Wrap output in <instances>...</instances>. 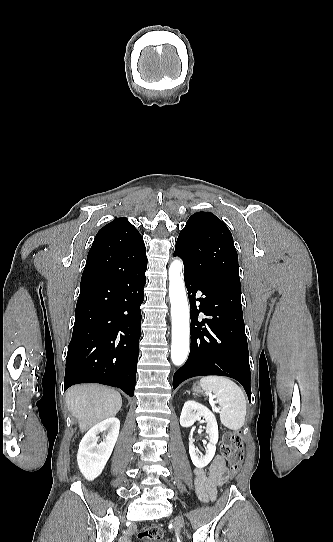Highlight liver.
I'll return each instance as SVG.
<instances>
[{
  "mask_svg": "<svg viewBox=\"0 0 333 542\" xmlns=\"http://www.w3.org/2000/svg\"><path fill=\"white\" fill-rule=\"evenodd\" d=\"M66 404L72 416L77 418L80 432H86L102 420L115 418L122 406V398L119 392L106 386L83 384L67 390Z\"/></svg>",
  "mask_w": 333,
  "mask_h": 542,
  "instance_id": "liver-1",
  "label": "liver"
}]
</instances>
